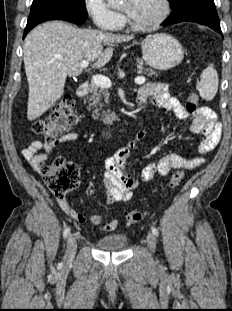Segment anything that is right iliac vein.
<instances>
[{"instance_id": "right-iliac-vein-1", "label": "right iliac vein", "mask_w": 232, "mask_h": 311, "mask_svg": "<svg viewBox=\"0 0 232 311\" xmlns=\"http://www.w3.org/2000/svg\"><path fill=\"white\" fill-rule=\"evenodd\" d=\"M77 248V240L74 236H70L67 241V248L65 254V265H69L75 256Z\"/></svg>"}]
</instances>
